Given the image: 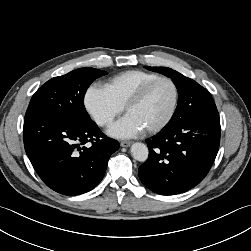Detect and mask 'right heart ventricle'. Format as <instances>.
<instances>
[{
    "mask_svg": "<svg viewBox=\"0 0 251 251\" xmlns=\"http://www.w3.org/2000/svg\"><path fill=\"white\" fill-rule=\"evenodd\" d=\"M159 75L143 70H128L109 78L104 87L109 94L123 107L135 92L148 81Z\"/></svg>",
    "mask_w": 251,
    "mask_h": 251,
    "instance_id": "obj_1",
    "label": "right heart ventricle"
}]
</instances>
